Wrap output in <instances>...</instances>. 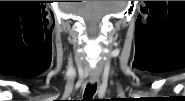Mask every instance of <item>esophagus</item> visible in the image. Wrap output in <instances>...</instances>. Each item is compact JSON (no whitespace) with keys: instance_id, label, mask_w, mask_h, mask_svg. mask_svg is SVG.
Masks as SVG:
<instances>
[{"instance_id":"34e87169","label":"esophagus","mask_w":185,"mask_h":101,"mask_svg":"<svg viewBox=\"0 0 185 101\" xmlns=\"http://www.w3.org/2000/svg\"><path fill=\"white\" fill-rule=\"evenodd\" d=\"M97 82V78L96 77H91L90 78V83L91 84H95Z\"/></svg>"}]
</instances>
